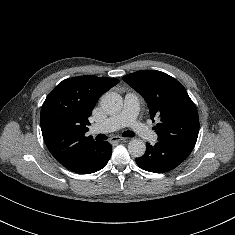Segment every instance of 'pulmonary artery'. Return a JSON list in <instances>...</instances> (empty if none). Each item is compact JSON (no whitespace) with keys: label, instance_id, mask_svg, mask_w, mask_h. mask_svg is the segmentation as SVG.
Instances as JSON below:
<instances>
[{"label":"pulmonary artery","instance_id":"pulmonary-artery-1","mask_svg":"<svg viewBox=\"0 0 235 235\" xmlns=\"http://www.w3.org/2000/svg\"><path fill=\"white\" fill-rule=\"evenodd\" d=\"M139 99L136 93L129 92L125 95L124 105L122 110L105 119L104 121L94 124L91 127L93 133L97 132H112L125 126H130L134 131L140 134L143 138L150 141H155L157 135L148 129L146 125L138 121Z\"/></svg>","mask_w":235,"mask_h":235}]
</instances>
